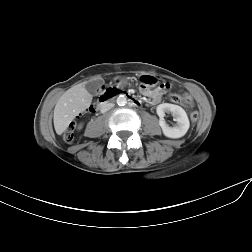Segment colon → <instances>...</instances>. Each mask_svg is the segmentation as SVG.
I'll use <instances>...</instances> for the list:
<instances>
[{"mask_svg": "<svg viewBox=\"0 0 252 252\" xmlns=\"http://www.w3.org/2000/svg\"><path fill=\"white\" fill-rule=\"evenodd\" d=\"M155 84V81L152 78L146 77L143 80V85L145 87L148 86H152ZM120 89L115 88V87H109V88H104L101 92L102 96H108L111 95L112 93L118 91ZM170 99L174 102H182L185 106H187L190 109V119L192 122H196L199 119V114L196 110L193 109V102L191 101V99L184 97L181 98L180 96H178L177 94H172L170 95ZM64 140L66 142H71L73 140V133L72 130H68L65 134H64Z\"/></svg>", "mask_w": 252, "mask_h": 252, "instance_id": "obj_1", "label": "colon"}]
</instances>
